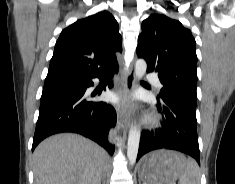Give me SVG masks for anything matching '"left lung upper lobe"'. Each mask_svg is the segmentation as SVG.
<instances>
[{
    "mask_svg": "<svg viewBox=\"0 0 235 184\" xmlns=\"http://www.w3.org/2000/svg\"><path fill=\"white\" fill-rule=\"evenodd\" d=\"M137 55L147 62V72H158L163 88L157 99L174 95L197 104L196 42L189 29L162 14L142 22Z\"/></svg>",
    "mask_w": 235,
    "mask_h": 184,
    "instance_id": "left-lung-upper-lobe-1",
    "label": "left lung upper lobe"
}]
</instances>
